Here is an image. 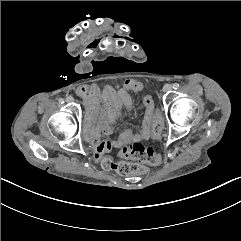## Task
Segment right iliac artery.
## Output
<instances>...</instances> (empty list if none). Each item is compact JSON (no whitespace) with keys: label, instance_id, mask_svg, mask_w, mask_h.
<instances>
[{"label":"right iliac artery","instance_id":"1","mask_svg":"<svg viewBox=\"0 0 241 241\" xmlns=\"http://www.w3.org/2000/svg\"><path fill=\"white\" fill-rule=\"evenodd\" d=\"M59 102L61 103V104H63L64 103V99H59Z\"/></svg>","mask_w":241,"mask_h":241}]
</instances>
